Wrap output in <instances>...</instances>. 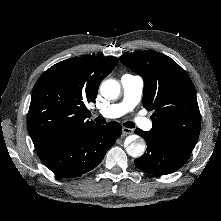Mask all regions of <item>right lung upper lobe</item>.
I'll use <instances>...</instances> for the list:
<instances>
[{
    "label": "right lung upper lobe",
    "mask_w": 221,
    "mask_h": 221,
    "mask_svg": "<svg viewBox=\"0 0 221 221\" xmlns=\"http://www.w3.org/2000/svg\"><path fill=\"white\" fill-rule=\"evenodd\" d=\"M117 64L116 57L85 56L59 62L40 76L27 115L37 151L96 125L86 119V104L94 102L101 81Z\"/></svg>",
    "instance_id": "1"
}]
</instances>
